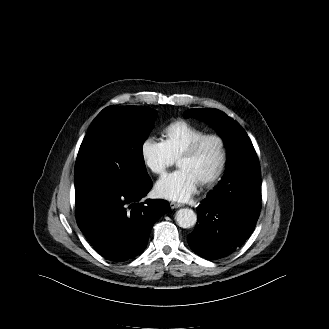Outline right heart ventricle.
Segmentation results:
<instances>
[{"mask_svg": "<svg viewBox=\"0 0 329 329\" xmlns=\"http://www.w3.org/2000/svg\"><path fill=\"white\" fill-rule=\"evenodd\" d=\"M206 131L185 120H176L162 131L163 142L174 159L195 139Z\"/></svg>", "mask_w": 329, "mask_h": 329, "instance_id": "e07e8e85", "label": "right heart ventricle"}]
</instances>
